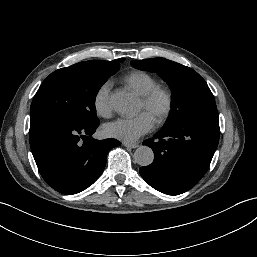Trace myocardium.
Instances as JSON below:
<instances>
[{
	"instance_id": "myocardium-1",
	"label": "myocardium",
	"mask_w": 257,
	"mask_h": 257,
	"mask_svg": "<svg viewBox=\"0 0 257 257\" xmlns=\"http://www.w3.org/2000/svg\"><path fill=\"white\" fill-rule=\"evenodd\" d=\"M158 99H162L164 102L162 111L155 119L158 124H161L168 119L173 109V97L171 92L167 88L156 86L141 96V102L146 106L154 104Z\"/></svg>"
}]
</instances>
